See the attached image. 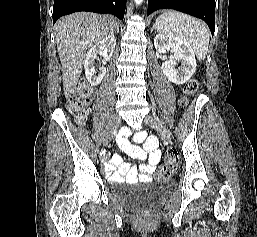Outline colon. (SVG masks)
<instances>
[{"mask_svg":"<svg viewBox=\"0 0 257 237\" xmlns=\"http://www.w3.org/2000/svg\"><path fill=\"white\" fill-rule=\"evenodd\" d=\"M199 81L190 80L184 87V96L182 97L180 103L185 106L189 102V98L198 90ZM93 96V91L89 85L82 81L79 83L76 91L71 97L68 103V109L71 114L76 118L79 123L85 121L88 117L91 109V99ZM178 165L177 154L170 150L167 152V162L163 164L157 172V177L159 179H168L171 177Z\"/></svg>","mask_w":257,"mask_h":237,"instance_id":"1","label":"colon"}]
</instances>
